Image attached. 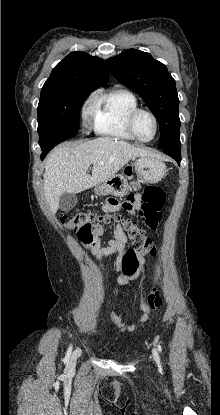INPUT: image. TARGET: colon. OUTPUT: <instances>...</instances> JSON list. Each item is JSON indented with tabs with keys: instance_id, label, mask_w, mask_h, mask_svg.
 Here are the masks:
<instances>
[{
	"instance_id": "5ec220e1",
	"label": "colon",
	"mask_w": 220,
	"mask_h": 415,
	"mask_svg": "<svg viewBox=\"0 0 220 415\" xmlns=\"http://www.w3.org/2000/svg\"><path fill=\"white\" fill-rule=\"evenodd\" d=\"M164 200L165 197L160 188L155 186L146 188L143 194L141 213L144 224L148 229L155 230L157 228L161 220V209ZM127 206H129V203L124 202L123 208ZM59 221L64 229L83 232L86 235H89L93 229L102 226V224H120L132 244V248L125 252L122 259L123 270L127 276H131L136 272L140 257H155L157 254V248L147 236L146 231L133 220L124 218L119 214L80 211L71 215H62ZM147 299L149 304L155 308L161 304V298L153 288H151Z\"/></svg>"
}]
</instances>
